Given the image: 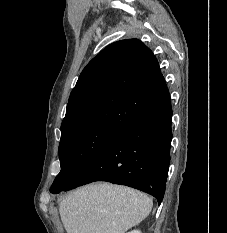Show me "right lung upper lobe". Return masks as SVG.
Returning <instances> with one entry per match:
<instances>
[{
	"label": "right lung upper lobe",
	"instance_id": "cb5924a9",
	"mask_svg": "<svg viewBox=\"0 0 227 233\" xmlns=\"http://www.w3.org/2000/svg\"><path fill=\"white\" fill-rule=\"evenodd\" d=\"M169 100L152 51L137 39L118 41L83 69L70 94L61 133L84 128L118 132Z\"/></svg>",
	"mask_w": 227,
	"mask_h": 233
}]
</instances>
